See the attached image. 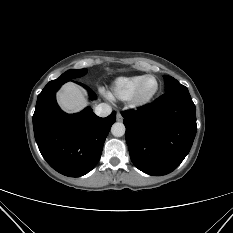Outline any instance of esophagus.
Returning a JSON list of instances; mask_svg holds the SVG:
<instances>
[{
    "mask_svg": "<svg viewBox=\"0 0 233 233\" xmlns=\"http://www.w3.org/2000/svg\"><path fill=\"white\" fill-rule=\"evenodd\" d=\"M116 120L119 122L123 121V116L119 112L116 114Z\"/></svg>",
    "mask_w": 233,
    "mask_h": 233,
    "instance_id": "1",
    "label": "esophagus"
}]
</instances>
